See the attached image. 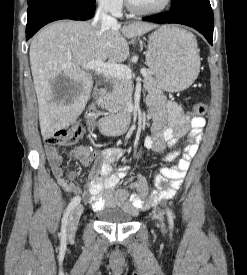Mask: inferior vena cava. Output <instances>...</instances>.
Here are the masks:
<instances>
[{
	"mask_svg": "<svg viewBox=\"0 0 247 275\" xmlns=\"http://www.w3.org/2000/svg\"><path fill=\"white\" fill-rule=\"evenodd\" d=\"M117 25V20L108 15L104 5L100 4L96 11L92 26L101 29H109L110 27Z\"/></svg>",
	"mask_w": 247,
	"mask_h": 275,
	"instance_id": "obj_1",
	"label": "inferior vena cava"
}]
</instances>
